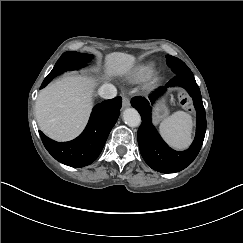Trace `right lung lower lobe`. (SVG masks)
<instances>
[{
  "label": "right lung lower lobe",
  "mask_w": 243,
  "mask_h": 243,
  "mask_svg": "<svg viewBox=\"0 0 243 243\" xmlns=\"http://www.w3.org/2000/svg\"><path fill=\"white\" fill-rule=\"evenodd\" d=\"M122 98L115 97L97 104L80 136L69 142H56L41 131V140L47 151L59 162L71 167L91 164L100 154L107 137L116 123Z\"/></svg>",
  "instance_id": "98d812e1"
}]
</instances>
